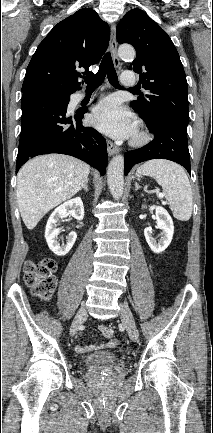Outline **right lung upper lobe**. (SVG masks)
<instances>
[{
	"instance_id": "1",
	"label": "right lung upper lobe",
	"mask_w": 213,
	"mask_h": 433,
	"mask_svg": "<svg viewBox=\"0 0 213 433\" xmlns=\"http://www.w3.org/2000/svg\"><path fill=\"white\" fill-rule=\"evenodd\" d=\"M110 29L90 8L59 22L37 47L26 70L23 94L70 95L80 89L78 68L89 67L106 51Z\"/></svg>"
}]
</instances>
